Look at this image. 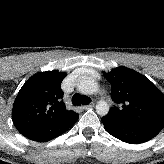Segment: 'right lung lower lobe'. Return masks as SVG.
<instances>
[{"label":"right lung lower lobe","mask_w":164,"mask_h":164,"mask_svg":"<svg viewBox=\"0 0 164 164\" xmlns=\"http://www.w3.org/2000/svg\"><path fill=\"white\" fill-rule=\"evenodd\" d=\"M78 120V114L73 113L72 115L57 121L49 126L35 130L29 134L24 135L30 140L37 142H46L53 138L58 137L63 132L68 130Z\"/></svg>","instance_id":"1"}]
</instances>
